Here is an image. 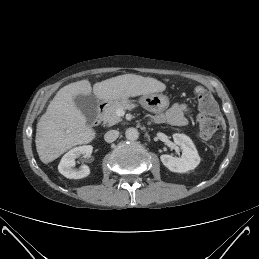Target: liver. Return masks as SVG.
I'll return each instance as SVG.
<instances>
[{
    "label": "liver",
    "instance_id": "liver-1",
    "mask_svg": "<svg viewBox=\"0 0 259 259\" xmlns=\"http://www.w3.org/2000/svg\"><path fill=\"white\" fill-rule=\"evenodd\" d=\"M165 89V84L157 79L135 74L97 82L93 88L88 80L64 86L56 93L37 124L35 143L40 160L48 164L73 146L87 144L94 139L95 131L87 125L86 117L74 103V96L93 92L100 100L112 101Z\"/></svg>",
    "mask_w": 259,
    "mask_h": 259
}]
</instances>
